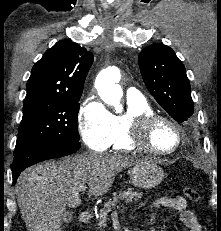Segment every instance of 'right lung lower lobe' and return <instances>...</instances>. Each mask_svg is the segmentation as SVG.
<instances>
[{
    "mask_svg": "<svg viewBox=\"0 0 221 231\" xmlns=\"http://www.w3.org/2000/svg\"><path fill=\"white\" fill-rule=\"evenodd\" d=\"M81 144L71 142H45L33 145L14 155L12 165L13 185L24 169L41 161L70 155L79 150Z\"/></svg>",
    "mask_w": 221,
    "mask_h": 231,
    "instance_id": "98d812e1",
    "label": "right lung lower lobe"
}]
</instances>
